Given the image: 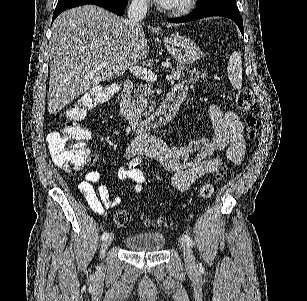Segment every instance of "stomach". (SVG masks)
Instances as JSON below:
<instances>
[{
    "mask_svg": "<svg viewBox=\"0 0 307 301\" xmlns=\"http://www.w3.org/2000/svg\"><path fill=\"white\" fill-rule=\"evenodd\" d=\"M164 46L178 64H193L203 54L196 42L178 32L164 36Z\"/></svg>",
    "mask_w": 307,
    "mask_h": 301,
    "instance_id": "stomach-1",
    "label": "stomach"
}]
</instances>
